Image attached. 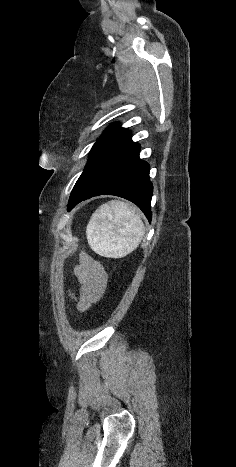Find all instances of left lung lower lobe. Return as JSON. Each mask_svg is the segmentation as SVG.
<instances>
[{
	"instance_id": "obj_1",
	"label": "left lung lower lobe",
	"mask_w": 236,
	"mask_h": 467,
	"mask_svg": "<svg viewBox=\"0 0 236 467\" xmlns=\"http://www.w3.org/2000/svg\"><path fill=\"white\" fill-rule=\"evenodd\" d=\"M140 145L130 131L120 136L104 153L89 177L70 197L68 210L98 195H115L135 203L151 220L153 186L150 166L139 158Z\"/></svg>"
}]
</instances>
